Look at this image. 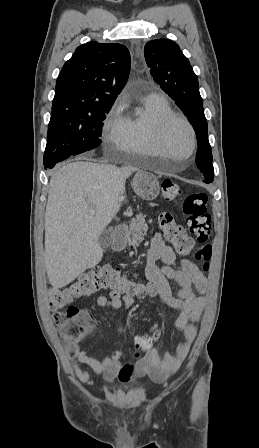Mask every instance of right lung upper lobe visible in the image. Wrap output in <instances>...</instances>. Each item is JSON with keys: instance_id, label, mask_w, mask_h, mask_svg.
<instances>
[{"instance_id": "1", "label": "right lung upper lobe", "mask_w": 259, "mask_h": 448, "mask_svg": "<svg viewBox=\"0 0 259 448\" xmlns=\"http://www.w3.org/2000/svg\"><path fill=\"white\" fill-rule=\"evenodd\" d=\"M130 72L128 49L118 43L88 42L63 66L52 113H78L111 107Z\"/></svg>"}]
</instances>
